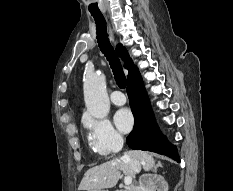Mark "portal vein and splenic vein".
Here are the masks:
<instances>
[{
    "label": "portal vein and splenic vein",
    "instance_id": "1",
    "mask_svg": "<svg viewBox=\"0 0 233 191\" xmlns=\"http://www.w3.org/2000/svg\"><path fill=\"white\" fill-rule=\"evenodd\" d=\"M124 183L126 186H130L132 184V177L131 176H126L124 178Z\"/></svg>",
    "mask_w": 233,
    "mask_h": 191
}]
</instances>
